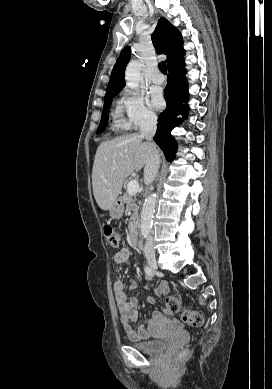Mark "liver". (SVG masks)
<instances>
[{"mask_svg": "<svg viewBox=\"0 0 272 389\" xmlns=\"http://www.w3.org/2000/svg\"><path fill=\"white\" fill-rule=\"evenodd\" d=\"M138 133L102 142L92 170L93 195L102 210H109L121 192L126 178L146 164L155 145L143 142Z\"/></svg>", "mask_w": 272, "mask_h": 389, "instance_id": "liver-1", "label": "liver"}]
</instances>
